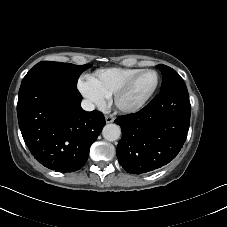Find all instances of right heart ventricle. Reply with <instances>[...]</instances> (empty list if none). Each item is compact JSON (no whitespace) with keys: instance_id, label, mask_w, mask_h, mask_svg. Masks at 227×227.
<instances>
[{"instance_id":"e07e8e85","label":"right heart ventricle","mask_w":227,"mask_h":227,"mask_svg":"<svg viewBox=\"0 0 227 227\" xmlns=\"http://www.w3.org/2000/svg\"><path fill=\"white\" fill-rule=\"evenodd\" d=\"M140 68H105L88 77L92 85L109 98L130 77L139 72Z\"/></svg>"}]
</instances>
